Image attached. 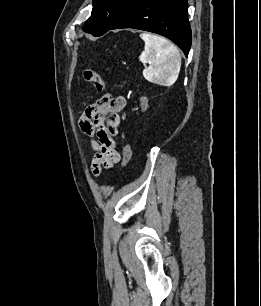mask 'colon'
<instances>
[{
  "instance_id": "1",
  "label": "colon",
  "mask_w": 261,
  "mask_h": 306,
  "mask_svg": "<svg viewBox=\"0 0 261 306\" xmlns=\"http://www.w3.org/2000/svg\"><path fill=\"white\" fill-rule=\"evenodd\" d=\"M84 78L86 82L92 85L96 90L102 91L104 89V80L98 71L93 69H87L84 71ZM147 104L148 101L146 97L143 96L139 99V106L141 110H145ZM122 155L124 164H129L132 159V149L130 148V146H123Z\"/></svg>"
}]
</instances>
